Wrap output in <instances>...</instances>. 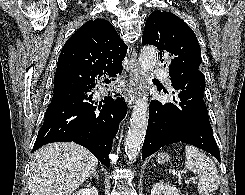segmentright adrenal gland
Masks as SVG:
<instances>
[{"label": "right adrenal gland", "instance_id": "right-adrenal-gland-1", "mask_svg": "<svg viewBox=\"0 0 245 195\" xmlns=\"http://www.w3.org/2000/svg\"><path fill=\"white\" fill-rule=\"evenodd\" d=\"M92 177H96L99 178V175L97 174V172H94L92 176H90V178L92 179Z\"/></svg>", "mask_w": 245, "mask_h": 195}]
</instances>
